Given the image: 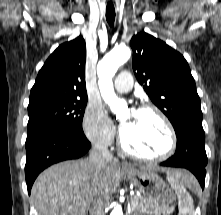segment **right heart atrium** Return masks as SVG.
I'll return each instance as SVG.
<instances>
[{
	"mask_svg": "<svg viewBox=\"0 0 221 215\" xmlns=\"http://www.w3.org/2000/svg\"><path fill=\"white\" fill-rule=\"evenodd\" d=\"M82 128L85 136L97 145H110L116 136V129L113 123L108 119L102 106L98 103H90L86 107Z\"/></svg>",
	"mask_w": 221,
	"mask_h": 215,
	"instance_id": "d8ad5b80",
	"label": "right heart atrium"
}]
</instances>
